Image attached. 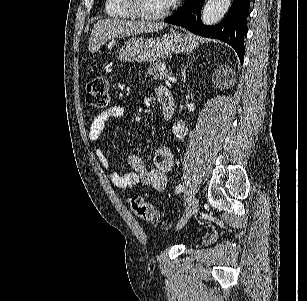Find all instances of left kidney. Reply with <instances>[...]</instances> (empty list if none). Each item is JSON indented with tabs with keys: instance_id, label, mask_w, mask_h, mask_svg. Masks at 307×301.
<instances>
[{
	"instance_id": "1",
	"label": "left kidney",
	"mask_w": 307,
	"mask_h": 301,
	"mask_svg": "<svg viewBox=\"0 0 307 301\" xmlns=\"http://www.w3.org/2000/svg\"><path fill=\"white\" fill-rule=\"evenodd\" d=\"M219 70H220V68H217L216 74H219ZM228 72H229V74H232L231 68H228ZM225 74H227V72H225ZM225 74H222V76H225ZM214 76H215V74H214ZM214 80H215V78H214ZM224 84H225V82H224V80H222V86H224Z\"/></svg>"
}]
</instances>
